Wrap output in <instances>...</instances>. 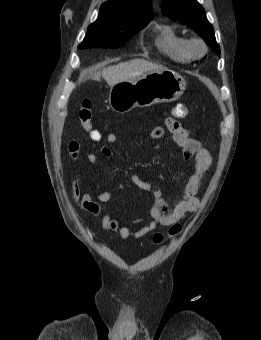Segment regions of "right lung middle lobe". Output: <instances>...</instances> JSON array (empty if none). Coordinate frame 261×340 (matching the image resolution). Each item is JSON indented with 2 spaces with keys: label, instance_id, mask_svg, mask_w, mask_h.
<instances>
[{
  "label": "right lung middle lobe",
  "instance_id": "1",
  "mask_svg": "<svg viewBox=\"0 0 261 340\" xmlns=\"http://www.w3.org/2000/svg\"><path fill=\"white\" fill-rule=\"evenodd\" d=\"M149 21L150 20L116 21L98 17V19L88 27L87 34L78 48H118L126 43L134 33L144 28Z\"/></svg>",
  "mask_w": 261,
  "mask_h": 340
}]
</instances>
